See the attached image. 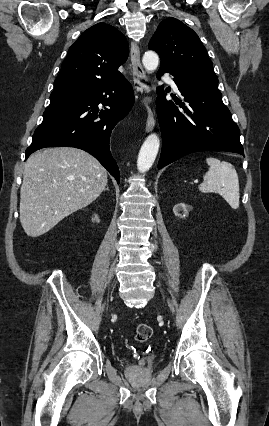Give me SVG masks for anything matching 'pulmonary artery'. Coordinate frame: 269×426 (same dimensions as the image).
Returning <instances> with one entry per match:
<instances>
[{
    "label": "pulmonary artery",
    "mask_w": 269,
    "mask_h": 426,
    "mask_svg": "<svg viewBox=\"0 0 269 426\" xmlns=\"http://www.w3.org/2000/svg\"><path fill=\"white\" fill-rule=\"evenodd\" d=\"M165 80H166V82H168V83L172 86V88H173L176 92H178L177 84L175 83V81H174L173 79H171V78H169V77H166V78H165Z\"/></svg>",
    "instance_id": "1"
}]
</instances>
